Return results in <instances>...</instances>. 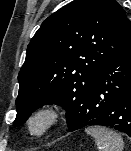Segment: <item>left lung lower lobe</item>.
Masks as SVG:
<instances>
[{
  "label": "left lung lower lobe",
  "mask_w": 131,
  "mask_h": 151,
  "mask_svg": "<svg viewBox=\"0 0 131 151\" xmlns=\"http://www.w3.org/2000/svg\"><path fill=\"white\" fill-rule=\"evenodd\" d=\"M91 125L116 129L131 137V48L105 66L69 130Z\"/></svg>",
  "instance_id": "obj_1"
}]
</instances>
